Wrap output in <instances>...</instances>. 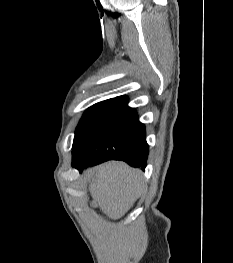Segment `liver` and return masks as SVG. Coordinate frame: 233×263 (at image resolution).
Masks as SVG:
<instances>
[{
    "label": "liver",
    "instance_id": "1",
    "mask_svg": "<svg viewBox=\"0 0 233 263\" xmlns=\"http://www.w3.org/2000/svg\"><path fill=\"white\" fill-rule=\"evenodd\" d=\"M90 193L100 210L111 219L121 218L144 191L139 169L124 162L111 161L92 171Z\"/></svg>",
    "mask_w": 233,
    "mask_h": 263
}]
</instances>
